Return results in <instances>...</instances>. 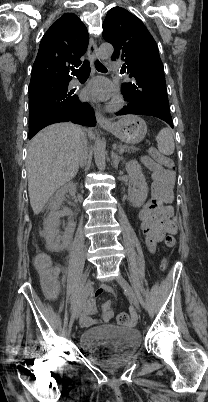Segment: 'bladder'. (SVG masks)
I'll return each instance as SVG.
<instances>
[{"label": "bladder", "mask_w": 208, "mask_h": 402, "mask_svg": "<svg viewBox=\"0 0 208 402\" xmlns=\"http://www.w3.org/2000/svg\"><path fill=\"white\" fill-rule=\"evenodd\" d=\"M80 342L94 363L118 364L140 347L141 338L137 330L102 324L85 330Z\"/></svg>", "instance_id": "1"}]
</instances>
